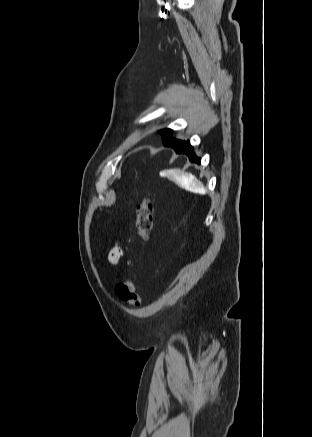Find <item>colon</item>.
<instances>
[{"label":"colon","instance_id":"obj_1","mask_svg":"<svg viewBox=\"0 0 312 437\" xmlns=\"http://www.w3.org/2000/svg\"><path fill=\"white\" fill-rule=\"evenodd\" d=\"M153 205L148 196H144L136 212V228L138 236L146 241L149 239L150 232L153 226ZM117 297L132 306H139L141 298L136 291L135 282L126 278L117 283L115 287Z\"/></svg>","mask_w":312,"mask_h":437}]
</instances>
